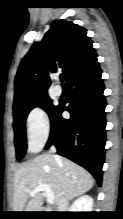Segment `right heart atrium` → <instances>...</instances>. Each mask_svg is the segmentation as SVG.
Instances as JSON below:
<instances>
[{"label":"right heart atrium","mask_w":123,"mask_h":219,"mask_svg":"<svg viewBox=\"0 0 123 219\" xmlns=\"http://www.w3.org/2000/svg\"><path fill=\"white\" fill-rule=\"evenodd\" d=\"M50 119L41 107L33 108L26 117V132L29 150L39 151L50 133Z\"/></svg>","instance_id":"1"}]
</instances>
